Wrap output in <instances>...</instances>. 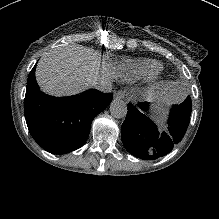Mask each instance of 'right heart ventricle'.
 Here are the masks:
<instances>
[{
  "mask_svg": "<svg viewBox=\"0 0 219 219\" xmlns=\"http://www.w3.org/2000/svg\"><path fill=\"white\" fill-rule=\"evenodd\" d=\"M119 70L128 82H149L161 72L162 64L151 59H127L121 62Z\"/></svg>",
  "mask_w": 219,
  "mask_h": 219,
  "instance_id": "obj_1",
  "label": "right heart ventricle"
}]
</instances>
